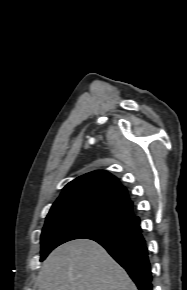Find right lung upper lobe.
Returning <instances> with one entry per match:
<instances>
[{
    "label": "right lung upper lobe",
    "mask_w": 187,
    "mask_h": 290,
    "mask_svg": "<svg viewBox=\"0 0 187 290\" xmlns=\"http://www.w3.org/2000/svg\"><path fill=\"white\" fill-rule=\"evenodd\" d=\"M132 206L127 189L116 177L107 171H93L68 183L49 214L77 207H101L135 225L139 223V218L133 215Z\"/></svg>",
    "instance_id": "cb5924a9"
}]
</instances>
